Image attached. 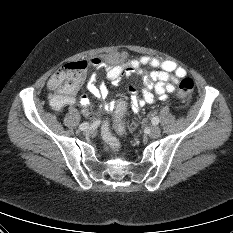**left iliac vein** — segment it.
I'll use <instances>...</instances> for the list:
<instances>
[{
	"mask_svg": "<svg viewBox=\"0 0 233 233\" xmlns=\"http://www.w3.org/2000/svg\"><path fill=\"white\" fill-rule=\"evenodd\" d=\"M161 130L158 126H151V128L149 129V136L151 138H157L160 136Z\"/></svg>",
	"mask_w": 233,
	"mask_h": 233,
	"instance_id": "1",
	"label": "left iliac vein"
}]
</instances>
